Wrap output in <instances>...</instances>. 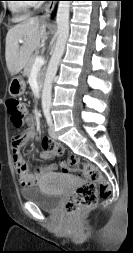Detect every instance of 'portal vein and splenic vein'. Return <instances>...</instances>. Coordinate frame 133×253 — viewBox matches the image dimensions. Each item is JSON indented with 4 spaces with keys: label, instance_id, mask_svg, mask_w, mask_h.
<instances>
[{
    "label": "portal vein and splenic vein",
    "instance_id": "18ae733b",
    "mask_svg": "<svg viewBox=\"0 0 133 253\" xmlns=\"http://www.w3.org/2000/svg\"><path fill=\"white\" fill-rule=\"evenodd\" d=\"M19 43H23V40H19ZM44 57L43 56H37L35 59V63L32 68H38L41 67L44 64Z\"/></svg>",
    "mask_w": 133,
    "mask_h": 253
}]
</instances>
